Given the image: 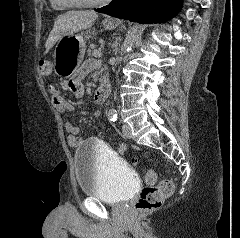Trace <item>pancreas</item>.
<instances>
[{
    "mask_svg": "<svg viewBox=\"0 0 240 238\" xmlns=\"http://www.w3.org/2000/svg\"><path fill=\"white\" fill-rule=\"evenodd\" d=\"M98 50L96 49V46L94 44H91L89 49H88V56H94L96 55V52Z\"/></svg>",
    "mask_w": 240,
    "mask_h": 238,
    "instance_id": "obj_1",
    "label": "pancreas"
}]
</instances>
